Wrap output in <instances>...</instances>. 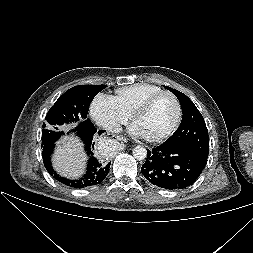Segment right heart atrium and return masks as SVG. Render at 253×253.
I'll return each instance as SVG.
<instances>
[{"label": "right heart atrium", "mask_w": 253, "mask_h": 253, "mask_svg": "<svg viewBox=\"0 0 253 253\" xmlns=\"http://www.w3.org/2000/svg\"><path fill=\"white\" fill-rule=\"evenodd\" d=\"M90 114L98 126L111 133L118 132L128 121V116L119 109L113 97L102 93L94 97Z\"/></svg>", "instance_id": "right-heart-atrium-1"}]
</instances>
